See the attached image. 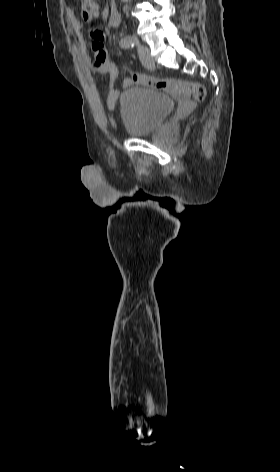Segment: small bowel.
<instances>
[{
  "label": "small bowel",
  "mask_w": 280,
  "mask_h": 472,
  "mask_svg": "<svg viewBox=\"0 0 280 472\" xmlns=\"http://www.w3.org/2000/svg\"><path fill=\"white\" fill-rule=\"evenodd\" d=\"M91 38V48L94 55L92 63V71L94 74H106L109 77V91H108V107L112 110L115 107L119 96V91L115 88V82L118 78L119 71L117 66L108 59L104 40L105 35L98 27H92L89 31ZM130 78L125 79L123 86L127 87L130 84Z\"/></svg>",
  "instance_id": "1"
}]
</instances>
